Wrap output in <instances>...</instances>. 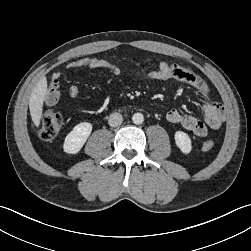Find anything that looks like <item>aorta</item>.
Returning <instances> with one entry per match:
<instances>
[{
    "label": "aorta",
    "instance_id": "obj_1",
    "mask_svg": "<svg viewBox=\"0 0 251 251\" xmlns=\"http://www.w3.org/2000/svg\"><path fill=\"white\" fill-rule=\"evenodd\" d=\"M132 121H133L134 124H137V125L142 124L143 121H144V116H143V114H141V113H135V114L132 116Z\"/></svg>",
    "mask_w": 251,
    "mask_h": 251
}]
</instances>
